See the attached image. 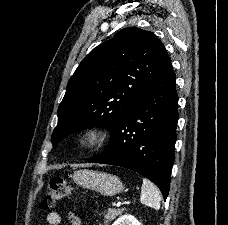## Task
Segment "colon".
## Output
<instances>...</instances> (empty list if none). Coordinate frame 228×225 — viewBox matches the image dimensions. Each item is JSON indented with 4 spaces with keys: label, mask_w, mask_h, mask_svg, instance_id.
Segmentation results:
<instances>
[{
    "label": "colon",
    "mask_w": 228,
    "mask_h": 225,
    "mask_svg": "<svg viewBox=\"0 0 228 225\" xmlns=\"http://www.w3.org/2000/svg\"><path fill=\"white\" fill-rule=\"evenodd\" d=\"M70 193L71 187L65 179L61 177L51 178L45 197L41 202V206L48 207L50 204L65 199Z\"/></svg>",
    "instance_id": "obj_1"
}]
</instances>
